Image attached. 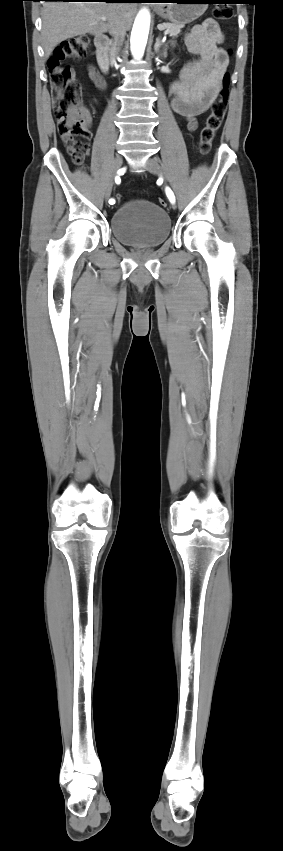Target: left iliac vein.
I'll return each mask as SVG.
<instances>
[{"instance_id": "4c4485c4", "label": "left iliac vein", "mask_w": 283, "mask_h": 851, "mask_svg": "<svg viewBox=\"0 0 283 851\" xmlns=\"http://www.w3.org/2000/svg\"><path fill=\"white\" fill-rule=\"evenodd\" d=\"M145 168H146V169H147L150 173H152V174H154V175H161V176H164V173H163V171H162L161 166L159 165L158 161H157L156 159H154V158H149V159L146 161ZM172 208H173V209H175V208H176V206H175V204H174V203H172Z\"/></svg>"}]
</instances>
